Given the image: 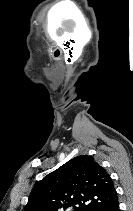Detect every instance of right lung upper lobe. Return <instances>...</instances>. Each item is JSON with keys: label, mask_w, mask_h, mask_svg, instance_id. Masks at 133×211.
Returning a JSON list of instances; mask_svg holds the SVG:
<instances>
[{"label": "right lung upper lobe", "mask_w": 133, "mask_h": 211, "mask_svg": "<svg viewBox=\"0 0 133 211\" xmlns=\"http://www.w3.org/2000/svg\"><path fill=\"white\" fill-rule=\"evenodd\" d=\"M118 202L109 174L91 156H77L31 191L24 211H107Z\"/></svg>", "instance_id": "1"}]
</instances>
